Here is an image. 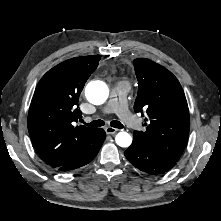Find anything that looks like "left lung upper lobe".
<instances>
[{
	"label": "left lung upper lobe",
	"mask_w": 221,
	"mask_h": 221,
	"mask_svg": "<svg viewBox=\"0 0 221 221\" xmlns=\"http://www.w3.org/2000/svg\"><path fill=\"white\" fill-rule=\"evenodd\" d=\"M138 95L134 110L147 113L144 131L134 136L178 161L187 144L190 120L184 91L177 78L146 58L134 60Z\"/></svg>",
	"instance_id": "left-lung-upper-lobe-1"
}]
</instances>
